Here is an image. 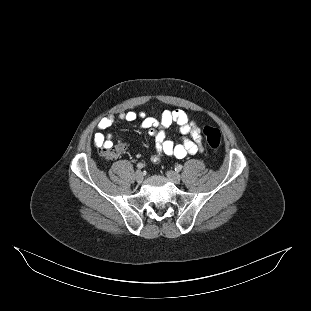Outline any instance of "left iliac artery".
Masks as SVG:
<instances>
[{
  "mask_svg": "<svg viewBox=\"0 0 311 311\" xmlns=\"http://www.w3.org/2000/svg\"><path fill=\"white\" fill-rule=\"evenodd\" d=\"M182 168H183V167H182V165H180V164H177V165L175 166V170H176V171H180Z\"/></svg>",
  "mask_w": 311,
  "mask_h": 311,
  "instance_id": "left-iliac-artery-1",
  "label": "left iliac artery"
}]
</instances>
